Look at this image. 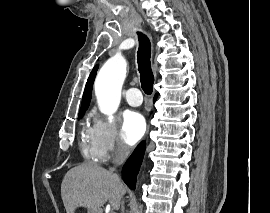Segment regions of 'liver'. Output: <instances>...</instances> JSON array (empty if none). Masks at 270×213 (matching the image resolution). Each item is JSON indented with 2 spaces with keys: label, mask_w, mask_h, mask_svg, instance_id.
Here are the masks:
<instances>
[{
  "label": "liver",
  "mask_w": 270,
  "mask_h": 213,
  "mask_svg": "<svg viewBox=\"0 0 270 213\" xmlns=\"http://www.w3.org/2000/svg\"><path fill=\"white\" fill-rule=\"evenodd\" d=\"M125 192L126 186L118 176L91 162L70 169L61 184L67 213H74L78 207L101 210L107 201L119 210Z\"/></svg>",
  "instance_id": "obj_1"
}]
</instances>
